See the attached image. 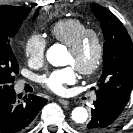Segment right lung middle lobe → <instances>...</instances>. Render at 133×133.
Listing matches in <instances>:
<instances>
[{"mask_svg": "<svg viewBox=\"0 0 133 133\" xmlns=\"http://www.w3.org/2000/svg\"><path fill=\"white\" fill-rule=\"evenodd\" d=\"M30 11V7L0 6V96L14 90V75L19 70L10 42Z\"/></svg>", "mask_w": 133, "mask_h": 133, "instance_id": "1", "label": "right lung middle lobe"}]
</instances>
